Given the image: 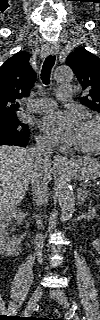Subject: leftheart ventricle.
<instances>
[{
    "label": "left heart ventricle",
    "mask_w": 100,
    "mask_h": 320,
    "mask_svg": "<svg viewBox=\"0 0 100 320\" xmlns=\"http://www.w3.org/2000/svg\"><path fill=\"white\" fill-rule=\"evenodd\" d=\"M96 137L95 129L91 124L82 122L80 125L78 139L75 146L86 147L94 143Z\"/></svg>",
    "instance_id": "1"
}]
</instances>
